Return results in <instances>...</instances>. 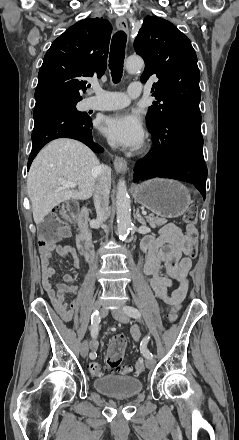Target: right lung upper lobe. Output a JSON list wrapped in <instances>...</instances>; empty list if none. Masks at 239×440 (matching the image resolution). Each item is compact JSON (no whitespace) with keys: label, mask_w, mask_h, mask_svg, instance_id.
Returning a JSON list of instances; mask_svg holds the SVG:
<instances>
[{"label":"right lung upper lobe","mask_w":239,"mask_h":440,"mask_svg":"<svg viewBox=\"0 0 239 440\" xmlns=\"http://www.w3.org/2000/svg\"><path fill=\"white\" fill-rule=\"evenodd\" d=\"M110 22L88 18L75 23L48 49L38 74L36 102L53 97L81 98L85 78H100L107 68Z\"/></svg>","instance_id":"obj_1"}]
</instances>
